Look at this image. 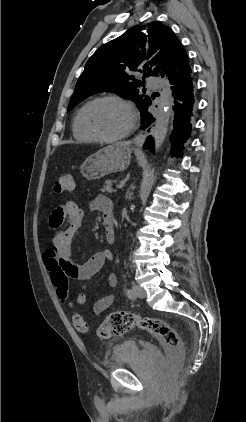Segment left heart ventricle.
<instances>
[{"label": "left heart ventricle", "instance_id": "b2bd125f", "mask_svg": "<svg viewBox=\"0 0 246 422\" xmlns=\"http://www.w3.org/2000/svg\"><path fill=\"white\" fill-rule=\"evenodd\" d=\"M129 112L121 104L113 101H103L92 107L89 121L92 128L106 137L122 133L129 124Z\"/></svg>", "mask_w": 246, "mask_h": 422}]
</instances>
